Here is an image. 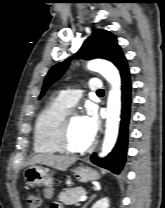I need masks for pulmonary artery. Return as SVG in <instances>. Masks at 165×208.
<instances>
[{"label":"pulmonary artery","mask_w":165,"mask_h":208,"mask_svg":"<svg viewBox=\"0 0 165 208\" xmlns=\"http://www.w3.org/2000/svg\"><path fill=\"white\" fill-rule=\"evenodd\" d=\"M88 90L93 93L102 90L101 79H90L88 83ZM82 93L83 91L80 89H67L59 93L58 100L68 107H73L81 98Z\"/></svg>","instance_id":"obj_1"}]
</instances>
